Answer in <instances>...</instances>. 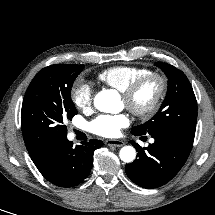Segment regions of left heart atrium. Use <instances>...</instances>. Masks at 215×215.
Returning a JSON list of instances; mask_svg holds the SVG:
<instances>
[{
  "label": "left heart atrium",
  "instance_id": "39dd6f15",
  "mask_svg": "<svg viewBox=\"0 0 215 215\" xmlns=\"http://www.w3.org/2000/svg\"><path fill=\"white\" fill-rule=\"evenodd\" d=\"M129 124L130 119L126 113L101 114L90 122L89 128L98 136L114 138L119 135L121 129Z\"/></svg>",
  "mask_w": 215,
  "mask_h": 215
}]
</instances>
